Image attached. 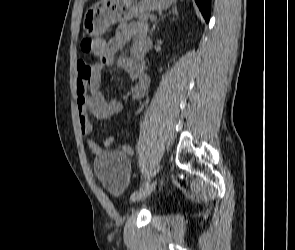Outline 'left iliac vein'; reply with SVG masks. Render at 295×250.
Returning a JSON list of instances; mask_svg holds the SVG:
<instances>
[{
  "label": "left iliac vein",
  "instance_id": "4c4485c4",
  "mask_svg": "<svg viewBox=\"0 0 295 250\" xmlns=\"http://www.w3.org/2000/svg\"><path fill=\"white\" fill-rule=\"evenodd\" d=\"M158 182H159V179H156L153 182L149 183V185L146 186L143 189V191L140 193V195L138 197H136L133 201L134 202L143 201L155 189V187L157 186Z\"/></svg>",
  "mask_w": 295,
  "mask_h": 250
}]
</instances>
